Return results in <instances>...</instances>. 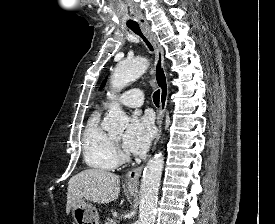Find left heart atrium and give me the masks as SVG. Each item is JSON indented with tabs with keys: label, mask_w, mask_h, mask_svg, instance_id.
Returning <instances> with one entry per match:
<instances>
[{
	"label": "left heart atrium",
	"mask_w": 275,
	"mask_h": 224,
	"mask_svg": "<svg viewBox=\"0 0 275 224\" xmlns=\"http://www.w3.org/2000/svg\"><path fill=\"white\" fill-rule=\"evenodd\" d=\"M154 134V125L149 117H133L122 138L123 148L132 154H141L148 149Z\"/></svg>",
	"instance_id": "left-heart-atrium-1"
}]
</instances>
